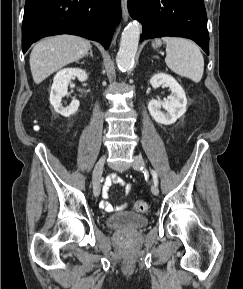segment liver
Here are the masks:
<instances>
[{"label": "liver", "mask_w": 243, "mask_h": 289, "mask_svg": "<svg viewBox=\"0 0 243 289\" xmlns=\"http://www.w3.org/2000/svg\"><path fill=\"white\" fill-rule=\"evenodd\" d=\"M90 41L74 35H57L46 38L33 47L30 69L36 84L52 73L88 54Z\"/></svg>", "instance_id": "6515ba94"}]
</instances>
